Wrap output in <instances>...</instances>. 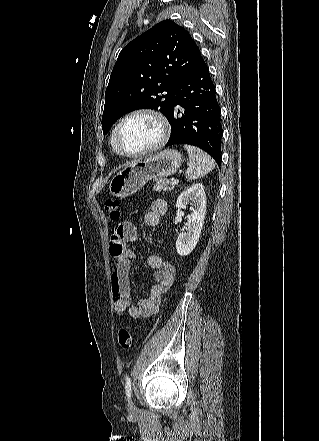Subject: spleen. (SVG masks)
Here are the masks:
<instances>
[{"label": "spleen", "instance_id": "spleen-1", "mask_svg": "<svg viewBox=\"0 0 319 441\" xmlns=\"http://www.w3.org/2000/svg\"><path fill=\"white\" fill-rule=\"evenodd\" d=\"M184 149L188 152L190 161L185 172L187 179H199L214 169V160L207 153L191 145H184Z\"/></svg>", "mask_w": 319, "mask_h": 441}]
</instances>
